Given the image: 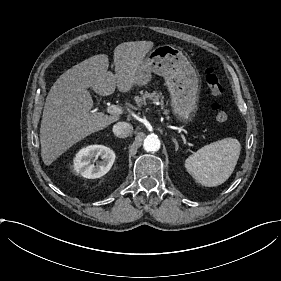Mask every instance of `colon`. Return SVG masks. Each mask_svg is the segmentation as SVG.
<instances>
[{"mask_svg": "<svg viewBox=\"0 0 281 281\" xmlns=\"http://www.w3.org/2000/svg\"><path fill=\"white\" fill-rule=\"evenodd\" d=\"M201 69L209 93L219 100L224 95V87L214 67L211 63L205 62L202 64ZM212 117L214 122L218 125H225L228 123L229 114L220 101L213 104Z\"/></svg>", "mask_w": 281, "mask_h": 281, "instance_id": "colon-1", "label": "colon"}]
</instances>
